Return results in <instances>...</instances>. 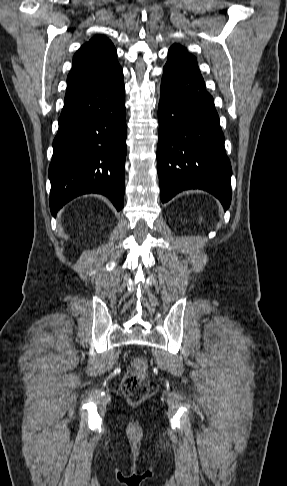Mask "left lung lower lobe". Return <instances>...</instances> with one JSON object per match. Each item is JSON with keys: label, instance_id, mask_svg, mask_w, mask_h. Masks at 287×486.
Returning a JSON list of instances; mask_svg holds the SVG:
<instances>
[{"label": "left lung lower lobe", "instance_id": "0a47b994", "mask_svg": "<svg viewBox=\"0 0 287 486\" xmlns=\"http://www.w3.org/2000/svg\"><path fill=\"white\" fill-rule=\"evenodd\" d=\"M160 98L157 169L161 201L198 188L213 194L228 209L231 164L214 100L201 74L168 57Z\"/></svg>", "mask_w": 287, "mask_h": 486}]
</instances>
